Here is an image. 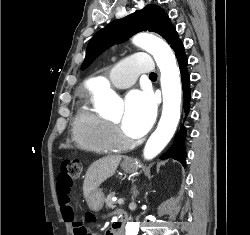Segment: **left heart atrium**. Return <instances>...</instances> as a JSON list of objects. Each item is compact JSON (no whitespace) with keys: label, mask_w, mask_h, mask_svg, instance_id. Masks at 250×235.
I'll list each match as a JSON object with an SVG mask.
<instances>
[{"label":"left heart atrium","mask_w":250,"mask_h":235,"mask_svg":"<svg viewBox=\"0 0 250 235\" xmlns=\"http://www.w3.org/2000/svg\"><path fill=\"white\" fill-rule=\"evenodd\" d=\"M156 115V104L152 94L146 90H132L125 98L122 126L131 137L145 135Z\"/></svg>","instance_id":"1"}]
</instances>
